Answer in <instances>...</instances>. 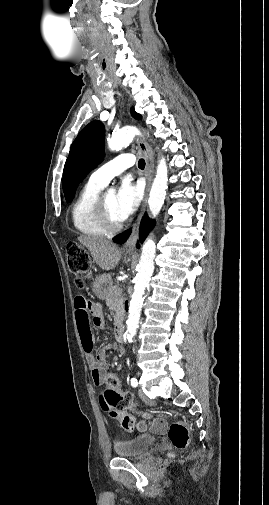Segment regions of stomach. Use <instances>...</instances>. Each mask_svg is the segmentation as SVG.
I'll return each mask as SVG.
<instances>
[{"mask_svg": "<svg viewBox=\"0 0 269 505\" xmlns=\"http://www.w3.org/2000/svg\"><path fill=\"white\" fill-rule=\"evenodd\" d=\"M112 278L110 274H102L99 276H96V278L93 280V289L95 294L99 298H104L109 289L112 287Z\"/></svg>", "mask_w": 269, "mask_h": 505, "instance_id": "obj_1", "label": "stomach"}]
</instances>
